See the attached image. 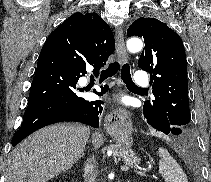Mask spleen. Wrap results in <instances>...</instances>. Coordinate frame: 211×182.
<instances>
[{
    "label": "spleen",
    "mask_w": 211,
    "mask_h": 182,
    "mask_svg": "<svg viewBox=\"0 0 211 182\" xmlns=\"http://www.w3.org/2000/svg\"><path fill=\"white\" fill-rule=\"evenodd\" d=\"M158 154L160 157L159 173L166 182H188L186 174L168 150L160 147Z\"/></svg>",
    "instance_id": "3e777b00"
}]
</instances>
